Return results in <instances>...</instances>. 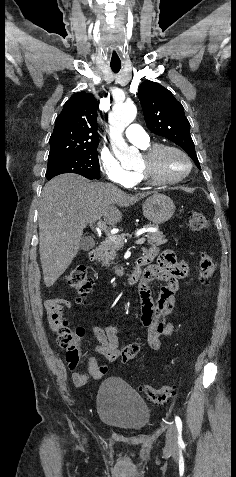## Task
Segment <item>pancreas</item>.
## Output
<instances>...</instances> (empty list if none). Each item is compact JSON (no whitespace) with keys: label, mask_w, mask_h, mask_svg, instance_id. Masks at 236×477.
I'll use <instances>...</instances> for the list:
<instances>
[{"label":"pancreas","mask_w":236,"mask_h":477,"mask_svg":"<svg viewBox=\"0 0 236 477\" xmlns=\"http://www.w3.org/2000/svg\"><path fill=\"white\" fill-rule=\"evenodd\" d=\"M128 234H121L118 237L123 241ZM147 244L151 246H160L166 243L164 235L162 232H149L147 235ZM123 244H116L107 238L103 241L99 247L98 261L102 263L103 266H110L113 264V260L117 256V252L122 248ZM115 274L117 276L123 275V270L118 267H114Z\"/></svg>","instance_id":"obj_1"}]
</instances>
